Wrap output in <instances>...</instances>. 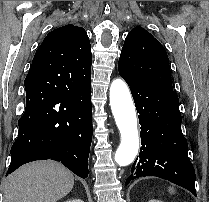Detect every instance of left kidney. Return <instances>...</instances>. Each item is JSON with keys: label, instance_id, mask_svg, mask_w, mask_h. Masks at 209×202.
<instances>
[{"label": "left kidney", "instance_id": "5707ae66", "mask_svg": "<svg viewBox=\"0 0 209 202\" xmlns=\"http://www.w3.org/2000/svg\"><path fill=\"white\" fill-rule=\"evenodd\" d=\"M148 202H163V201H160V200H157V199H151Z\"/></svg>", "mask_w": 209, "mask_h": 202}]
</instances>
